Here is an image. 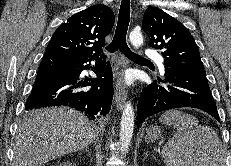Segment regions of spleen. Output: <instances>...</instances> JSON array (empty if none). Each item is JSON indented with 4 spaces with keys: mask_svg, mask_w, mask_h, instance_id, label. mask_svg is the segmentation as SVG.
Listing matches in <instances>:
<instances>
[{
    "mask_svg": "<svg viewBox=\"0 0 231 166\" xmlns=\"http://www.w3.org/2000/svg\"><path fill=\"white\" fill-rule=\"evenodd\" d=\"M159 121L177 130L161 152L166 166H226L225 151L217 133L199 125L196 117L169 110Z\"/></svg>",
    "mask_w": 231,
    "mask_h": 166,
    "instance_id": "obj_1",
    "label": "spleen"
}]
</instances>
